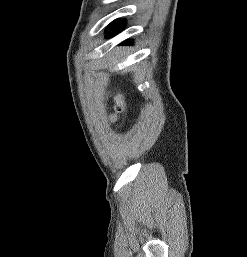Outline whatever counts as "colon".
<instances>
[{"label": "colon", "instance_id": "colon-1", "mask_svg": "<svg viewBox=\"0 0 247 257\" xmlns=\"http://www.w3.org/2000/svg\"><path fill=\"white\" fill-rule=\"evenodd\" d=\"M123 108H124V101H123V97L121 95H118L116 97V104H115V107H114V112L111 116V119L112 120H116L117 117L119 116V114L122 113L123 111Z\"/></svg>", "mask_w": 247, "mask_h": 257}]
</instances>
